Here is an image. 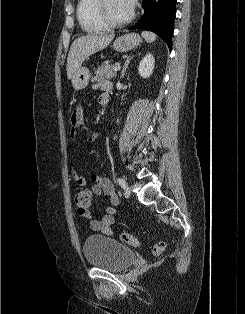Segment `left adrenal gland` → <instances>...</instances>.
Returning <instances> with one entry per match:
<instances>
[{
	"instance_id": "1",
	"label": "left adrenal gland",
	"mask_w": 245,
	"mask_h": 314,
	"mask_svg": "<svg viewBox=\"0 0 245 314\" xmlns=\"http://www.w3.org/2000/svg\"><path fill=\"white\" fill-rule=\"evenodd\" d=\"M134 55H131V56H128L125 60V63H124V66H123V69H122V72H121V75H120V79L123 78L125 76V73H126V69L131 61V59H133Z\"/></svg>"
}]
</instances>
